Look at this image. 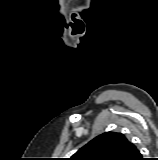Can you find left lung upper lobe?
I'll return each mask as SVG.
<instances>
[{
  "label": "left lung upper lobe",
  "instance_id": "obj_1",
  "mask_svg": "<svg viewBox=\"0 0 158 160\" xmlns=\"http://www.w3.org/2000/svg\"><path fill=\"white\" fill-rule=\"evenodd\" d=\"M136 146L121 133H103L82 148L69 160H131Z\"/></svg>",
  "mask_w": 158,
  "mask_h": 160
}]
</instances>
